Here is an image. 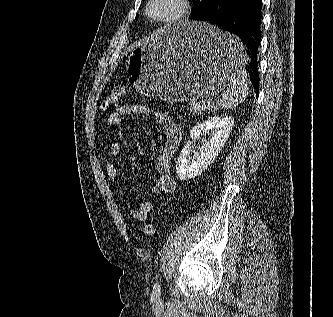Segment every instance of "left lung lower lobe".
I'll list each match as a JSON object with an SVG mask.
<instances>
[{
    "mask_svg": "<svg viewBox=\"0 0 333 317\" xmlns=\"http://www.w3.org/2000/svg\"><path fill=\"white\" fill-rule=\"evenodd\" d=\"M262 0H212L200 12L191 15L190 19L212 24L223 31L237 35L247 46L250 81L259 95V77L257 51L261 40ZM219 52L230 56L229 50L222 45Z\"/></svg>",
    "mask_w": 333,
    "mask_h": 317,
    "instance_id": "0a47b994",
    "label": "left lung lower lobe"
}]
</instances>
